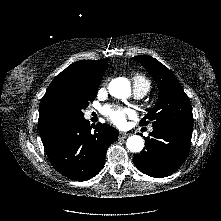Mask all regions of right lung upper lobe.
<instances>
[{
  "label": "right lung upper lobe",
  "mask_w": 221,
  "mask_h": 221,
  "mask_svg": "<svg viewBox=\"0 0 221 221\" xmlns=\"http://www.w3.org/2000/svg\"><path fill=\"white\" fill-rule=\"evenodd\" d=\"M107 62L108 59L77 61L54 78L39 105L38 129L40 136L56 131L74 121L67 110L61 107L56 100L55 92L58 84L67 78L100 83L108 67Z\"/></svg>",
  "instance_id": "1"
}]
</instances>
